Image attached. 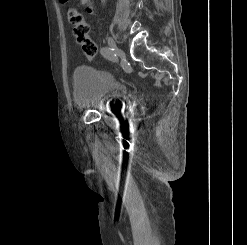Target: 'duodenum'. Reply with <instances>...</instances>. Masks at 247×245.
Here are the masks:
<instances>
[{
    "mask_svg": "<svg viewBox=\"0 0 247 245\" xmlns=\"http://www.w3.org/2000/svg\"><path fill=\"white\" fill-rule=\"evenodd\" d=\"M82 2H87V1H89V0H81Z\"/></svg>",
    "mask_w": 247,
    "mask_h": 245,
    "instance_id": "1",
    "label": "duodenum"
}]
</instances>
